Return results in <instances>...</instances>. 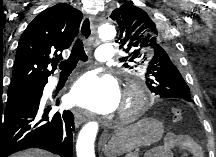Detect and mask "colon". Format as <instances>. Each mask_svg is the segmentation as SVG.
Segmentation results:
<instances>
[{
  "instance_id": "obj_1",
  "label": "colon",
  "mask_w": 216,
  "mask_h": 157,
  "mask_svg": "<svg viewBox=\"0 0 216 157\" xmlns=\"http://www.w3.org/2000/svg\"><path fill=\"white\" fill-rule=\"evenodd\" d=\"M172 118L174 121H181L183 118V113L180 109H173Z\"/></svg>"
}]
</instances>
